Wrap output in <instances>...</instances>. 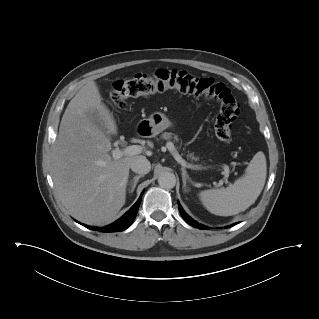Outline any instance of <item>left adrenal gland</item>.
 I'll return each mask as SVG.
<instances>
[{
    "instance_id": "obj_1",
    "label": "left adrenal gland",
    "mask_w": 319,
    "mask_h": 319,
    "mask_svg": "<svg viewBox=\"0 0 319 319\" xmlns=\"http://www.w3.org/2000/svg\"><path fill=\"white\" fill-rule=\"evenodd\" d=\"M182 181H183V188L185 189V191H187L186 190V176L182 173Z\"/></svg>"
}]
</instances>
